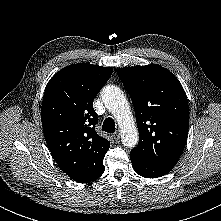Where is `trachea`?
I'll use <instances>...</instances> for the list:
<instances>
[{
	"mask_svg": "<svg viewBox=\"0 0 221 221\" xmlns=\"http://www.w3.org/2000/svg\"><path fill=\"white\" fill-rule=\"evenodd\" d=\"M102 130L107 132V133L115 132L116 128H115L114 120L110 117L106 118L104 120L103 125H102Z\"/></svg>",
	"mask_w": 221,
	"mask_h": 221,
	"instance_id": "1",
	"label": "trachea"
}]
</instances>
